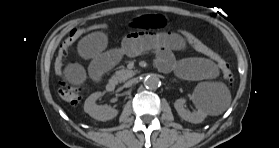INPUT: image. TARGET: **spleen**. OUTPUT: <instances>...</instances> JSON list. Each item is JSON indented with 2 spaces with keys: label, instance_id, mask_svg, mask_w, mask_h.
<instances>
[{
  "label": "spleen",
  "instance_id": "3e777b00",
  "mask_svg": "<svg viewBox=\"0 0 279 148\" xmlns=\"http://www.w3.org/2000/svg\"><path fill=\"white\" fill-rule=\"evenodd\" d=\"M196 91L213 115L223 113L231 103L230 92L221 82L200 83L196 87Z\"/></svg>",
  "mask_w": 279,
  "mask_h": 148
}]
</instances>
